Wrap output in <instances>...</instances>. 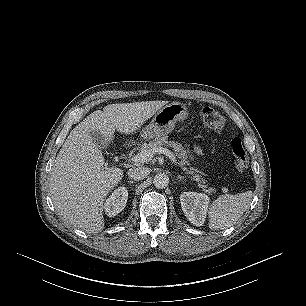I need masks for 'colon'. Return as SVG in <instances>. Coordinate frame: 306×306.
<instances>
[{"label":"colon","mask_w":306,"mask_h":306,"mask_svg":"<svg viewBox=\"0 0 306 306\" xmlns=\"http://www.w3.org/2000/svg\"><path fill=\"white\" fill-rule=\"evenodd\" d=\"M199 116L205 127L215 131L223 129L226 122L224 115L212 107H201L199 109ZM230 149L234 157L237 172L239 174L244 173L248 167L249 159L242 140L240 138L232 139Z\"/></svg>","instance_id":"obj_1"}]
</instances>
